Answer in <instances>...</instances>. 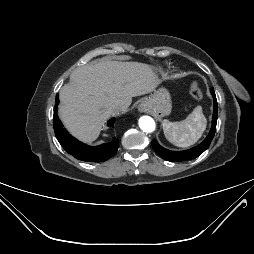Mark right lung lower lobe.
I'll use <instances>...</instances> for the list:
<instances>
[{
	"instance_id": "obj_1",
	"label": "right lung lower lobe",
	"mask_w": 254,
	"mask_h": 254,
	"mask_svg": "<svg viewBox=\"0 0 254 254\" xmlns=\"http://www.w3.org/2000/svg\"><path fill=\"white\" fill-rule=\"evenodd\" d=\"M56 104L54 107V115H53V126L56 138L58 139L61 146L67 151L69 154L74 156L75 158L87 161V162H102L111 158L118 149V139L114 138L110 143H104L100 146H88L78 141L74 137H72L64 128L57 116V105L59 104V96L56 95ZM115 122V118H112L108 121V126H113Z\"/></svg>"
}]
</instances>
